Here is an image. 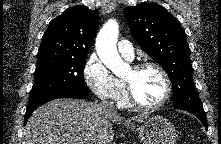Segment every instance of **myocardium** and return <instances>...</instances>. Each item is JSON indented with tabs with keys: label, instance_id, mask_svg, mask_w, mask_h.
<instances>
[{
	"label": "myocardium",
	"instance_id": "f54148a6",
	"mask_svg": "<svg viewBox=\"0 0 221 144\" xmlns=\"http://www.w3.org/2000/svg\"><path fill=\"white\" fill-rule=\"evenodd\" d=\"M146 68H155L163 77V80L165 83V93H164L163 98L155 104H144L136 98L131 83L128 80L124 79L126 96H127L128 102L133 107H136L138 109H144V110H155L164 106L169 101L171 93H172V82L166 70L161 65L155 62H151V61L141 62V63L133 65L131 69L135 73H138Z\"/></svg>",
	"mask_w": 221,
	"mask_h": 144
}]
</instances>
